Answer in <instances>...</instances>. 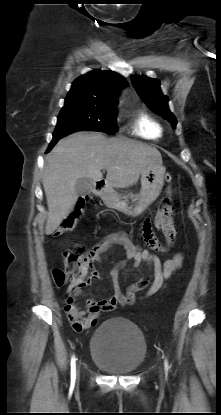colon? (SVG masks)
Wrapping results in <instances>:
<instances>
[{
    "label": "colon",
    "mask_w": 221,
    "mask_h": 415,
    "mask_svg": "<svg viewBox=\"0 0 221 415\" xmlns=\"http://www.w3.org/2000/svg\"><path fill=\"white\" fill-rule=\"evenodd\" d=\"M165 181L171 183L172 176L166 174ZM167 197H165L159 207L158 214L155 220V226L157 229L167 225L173 218V208L169 199V195L172 192L170 186L167 187ZM84 200L78 202L76 208L70 213V215L64 220L58 230L55 232V237L63 236L73 231L77 219L80 216ZM92 261V257L89 252L84 248L78 247L73 251L69 252L65 259L62 268H54L52 270V277L55 284L60 287L63 286L67 280L71 277L72 286H84L87 270ZM90 277V276H89ZM69 285V286H70Z\"/></svg>",
    "instance_id": "colon-1"
}]
</instances>
